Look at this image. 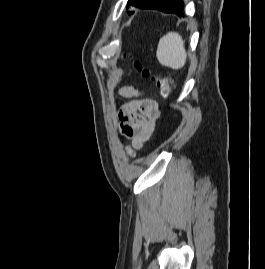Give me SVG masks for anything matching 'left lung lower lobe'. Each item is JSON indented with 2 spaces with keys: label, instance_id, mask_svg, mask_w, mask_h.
<instances>
[{
  "label": "left lung lower lobe",
  "instance_id": "0a47b994",
  "mask_svg": "<svg viewBox=\"0 0 265 269\" xmlns=\"http://www.w3.org/2000/svg\"><path fill=\"white\" fill-rule=\"evenodd\" d=\"M138 8L140 9H156L165 13H174L178 16H184L183 0H146Z\"/></svg>",
  "mask_w": 265,
  "mask_h": 269
}]
</instances>
